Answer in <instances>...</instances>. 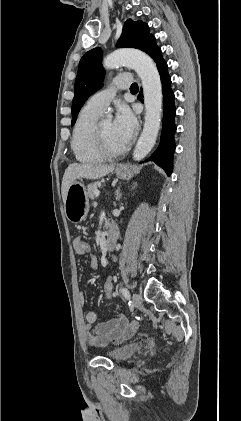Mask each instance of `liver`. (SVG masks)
Here are the masks:
<instances>
[{
    "instance_id": "6515ba94",
    "label": "liver",
    "mask_w": 241,
    "mask_h": 421,
    "mask_svg": "<svg viewBox=\"0 0 241 421\" xmlns=\"http://www.w3.org/2000/svg\"><path fill=\"white\" fill-rule=\"evenodd\" d=\"M114 164L104 165V164H79L72 163L65 170L62 185L61 193L63 202L66 199V195L70 185L79 178L86 179H99L114 170Z\"/></svg>"
}]
</instances>
